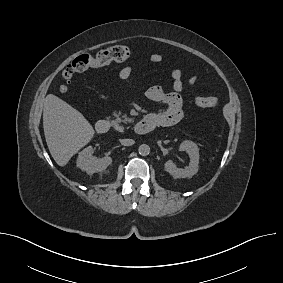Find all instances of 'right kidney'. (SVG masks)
<instances>
[{
  "instance_id": "right-kidney-1",
  "label": "right kidney",
  "mask_w": 283,
  "mask_h": 283,
  "mask_svg": "<svg viewBox=\"0 0 283 283\" xmlns=\"http://www.w3.org/2000/svg\"><path fill=\"white\" fill-rule=\"evenodd\" d=\"M93 148L88 146L83 149L77 158V167L85 171L87 174H93L105 170L111 163L112 158L109 156L103 158L92 157Z\"/></svg>"
}]
</instances>
